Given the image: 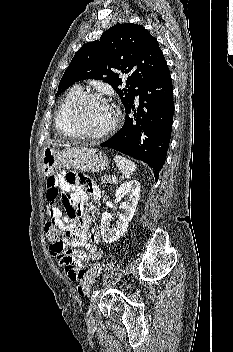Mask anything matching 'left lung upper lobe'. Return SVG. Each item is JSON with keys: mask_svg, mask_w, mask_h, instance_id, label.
<instances>
[{"mask_svg": "<svg viewBox=\"0 0 233 352\" xmlns=\"http://www.w3.org/2000/svg\"><path fill=\"white\" fill-rule=\"evenodd\" d=\"M166 65L155 37L142 25L117 24L105 31L99 40L83 45L66 69L55 96L75 82L100 79L110 84L124 107L140 89ZM120 73L127 74L126 88H119Z\"/></svg>", "mask_w": 233, "mask_h": 352, "instance_id": "1", "label": "left lung upper lobe"}]
</instances>
